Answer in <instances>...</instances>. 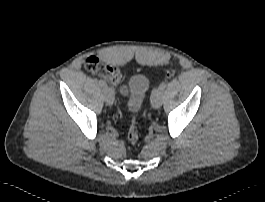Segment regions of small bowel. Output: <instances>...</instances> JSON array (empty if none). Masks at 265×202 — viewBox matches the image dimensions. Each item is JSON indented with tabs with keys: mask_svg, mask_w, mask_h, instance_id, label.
<instances>
[{
	"mask_svg": "<svg viewBox=\"0 0 265 202\" xmlns=\"http://www.w3.org/2000/svg\"><path fill=\"white\" fill-rule=\"evenodd\" d=\"M83 66L86 70L106 78L112 85L118 87L121 92H127V86L121 84L122 74L118 67L109 64L100 65V60L97 55L87 56ZM108 70H111V73Z\"/></svg>",
	"mask_w": 265,
	"mask_h": 202,
	"instance_id": "1",
	"label": "small bowel"
}]
</instances>
